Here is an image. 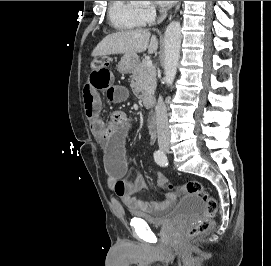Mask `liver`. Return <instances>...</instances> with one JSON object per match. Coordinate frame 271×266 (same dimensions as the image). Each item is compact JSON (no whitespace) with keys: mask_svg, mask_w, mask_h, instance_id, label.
<instances>
[{"mask_svg":"<svg viewBox=\"0 0 271 266\" xmlns=\"http://www.w3.org/2000/svg\"><path fill=\"white\" fill-rule=\"evenodd\" d=\"M158 40L149 30L135 29L116 32L106 36L93 50L92 56L113 54H136L148 50L149 54L157 51Z\"/></svg>","mask_w":271,"mask_h":266,"instance_id":"6515ba94","label":"liver"}]
</instances>
